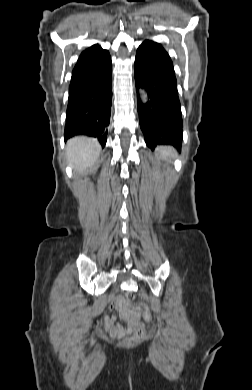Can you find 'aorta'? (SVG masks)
Wrapping results in <instances>:
<instances>
[{
  "label": "aorta",
  "instance_id": "obj_1",
  "mask_svg": "<svg viewBox=\"0 0 252 390\" xmlns=\"http://www.w3.org/2000/svg\"><path fill=\"white\" fill-rule=\"evenodd\" d=\"M141 94H142L141 95L142 101L146 102L147 101V93H146V91L142 90Z\"/></svg>",
  "mask_w": 252,
  "mask_h": 390
}]
</instances>
